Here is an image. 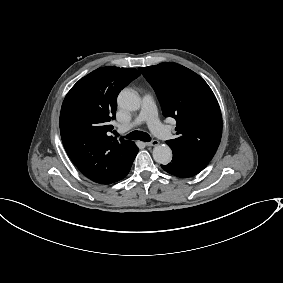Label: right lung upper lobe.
I'll list each match as a JSON object with an SVG mask.
<instances>
[{
  "label": "right lung upper lobe",
  "instance_id": "cb5924a9",
  "mask_svg": "<svg viewBox=\"0 0 283 283\" xmlns=\"http://www.w3.org/2000/svg\"><path fill=\"white\" fill-rule=\"evenodd\" d=\"M140 73L134 68L101 67L80 79L66 95L60 113L64 148L75 166L99 184L114 182L138 152L132 141L109 136L117 96Z\"/></svg>",
  "mask_w": 283,
  "mask_h": 283
}]
</instances>
